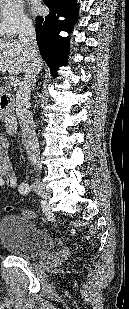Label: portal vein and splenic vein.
<instances>
[{"mask_svg":"<svg viewBox=\"0 0 129 309\" xmlns=\"http://www.w3.org/2000/svg\"><path fill=\"white\" fill-rule=\"evenodd\" d=\"M10 84L14 87L18 86L19 85V79H15V78H11L10 79Z\"/></svg>","mask_w":129,"mask_h":309,"instance_id":"18ae733b","label":"portal vein and splenic vein"}]
</instances>
